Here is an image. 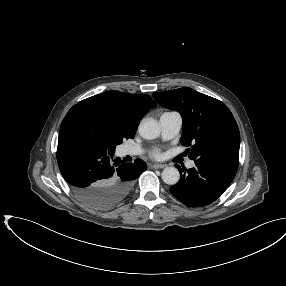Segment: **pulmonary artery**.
I'll use <instances>...</instances> for the list:
<instances>
[{
    "mask_svg": "<svg viewBox=\"0 0 286 286\" xmlns=\"http://www.w3.org/2000/svg\"><path fill=\"white\" fill-rule=\"evenodd\" d=\"M159 123L162 138L164 140H169L179 133L182 127V117L178 112H165L160 116ZM140 152V149L132 146H126L124 148V154L127 155H137L140 154ZM187 166L192 168L194 162L188 161Z\"/></svg>",
    "mask_w": 286,
    "mask_h": 286,
    "instance_id": "1",
    "label": "pulmonary artery"
}]
</instances>
